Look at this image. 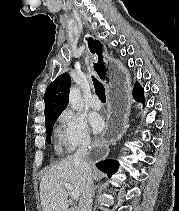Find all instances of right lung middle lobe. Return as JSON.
<instances>
[{"instance_id":"right-lung-middle-lobe-1","label":"right lung middle lobe","mask_w":179,"mask_h":211,"mask_svg":"<svg viewBox=\"0 0 179 211\" xmlns=\"http://www.w3.org/2000/svg\"><path fill=\"white\" fill-rule=\"evenodd\" d=\"M57 118H58V116L52 117L51 119H49L45 122L46 131H47L46 140L48 143H50L52 128H53V125H54L55 121L57 120Z\"/></svg>"}]
</instances>
